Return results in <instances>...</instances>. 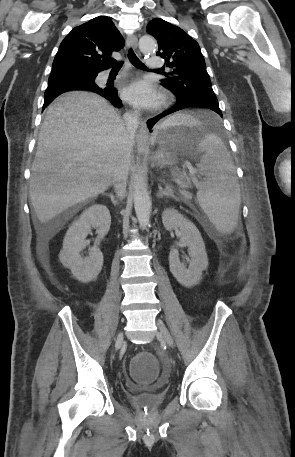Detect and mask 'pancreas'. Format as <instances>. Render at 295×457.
Here are the masks:
<instances>
[{"mask_svg":"<svg viewBox=\"0 0 295 457\" xmlns=\"http://www.w3.org/2000/svg\"><path fill=\"white\" fill-rule=\"evenodd\" d=\"M181 193H182V195H183L182 200L188 201V200L191 198V194L188 193V192H186L185 190H182Z\"/></svg>","mask_w":295,"mask_h":457,"instance_id":"cf45deb5","label":"pancreas"}]
</instances>
